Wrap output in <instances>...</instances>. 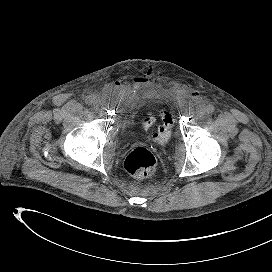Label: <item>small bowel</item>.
<instances>
[{
  "instance_id": "1",
  "label": "small bowel",
  "mask_w": 272,
  "mask_h": 272,
  "mask_svg": "<svg viewBox=\"0 0 272 272\" xmlns=\"http://www.w3.org/2000/svg\"><path fill=\"white\" fill-rule=\"evenodd\" d=\"M114 87L120 88V87H121V84H120L119 82H115V83H114Z\"/></svg>"
}]
</instances>
